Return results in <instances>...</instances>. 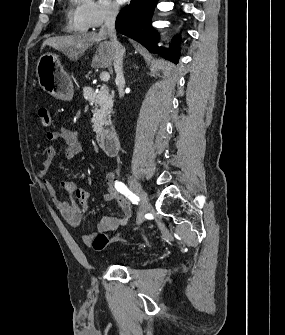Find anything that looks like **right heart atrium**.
<instances>
[{
	"mask_svg": "<svg viewBox=\"0 0 285 335\" xmlns=\"http://www.w3.org/2000/svg\"><path fill=\"white\" fill-rule=\"evenodd\" d=\"M120 10L115 1H89L86 5L85 22L92 29L99 28L105 23L115 21Z\"/></svg>",
	"mask_w": 285,
	"mask_h": 335,
	"instance_id": "obj_1",
	"label": "right heart atrium"
}]
</instances>
